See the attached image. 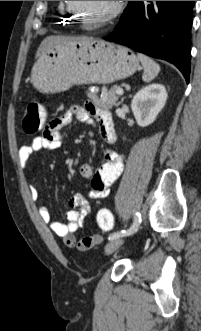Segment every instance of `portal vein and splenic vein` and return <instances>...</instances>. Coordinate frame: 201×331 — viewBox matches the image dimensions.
<instances>
[{
  "label": "portal vein and splenic vein",
  "mask_w": 201,
  "mask_h": 331,
  "mask_svg": "<svg viewBox=\"0 0 201 331\" xmlns=\"http://www.w3.org/2000/svg\"><path fill=\"white\" fill-rule=\"evenodd\" d=\"M116 94H117V95H123V94H124L123 89H122V88H118V89L116 90Z\"/></svg>",
  "instance_id": "18ae733b"
}]
</instances>
